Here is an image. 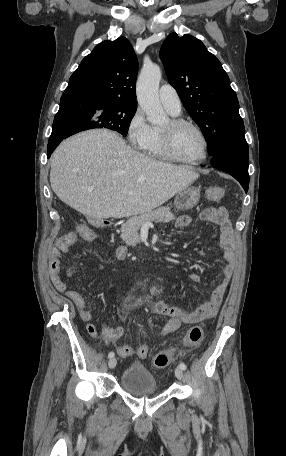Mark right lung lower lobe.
Wrapping results in <instances>:
<instances>
[{"mask_svg":"<svg viewBox=\"0 0 286 456\" xmlns=\"http://www.w3.org/2000/svg\"><path fill=\"white\" fill-rule=\"evenodd\" d=\"M80 96L75 94H63L60 100V109L56 114L53 122V129L48 142L47 154L51 156L54 149L65 138L62 135L63 130L69 124L72 117L73 106Z\"/></svg>","mask_w":286,"mask_h":456,"instance_id":"1","label":"right lung lower lobe"}]
</instances>
